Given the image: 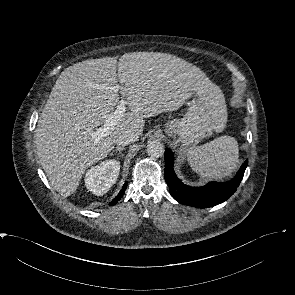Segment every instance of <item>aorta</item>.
<instances>
[{
    "instance_id": "762f6f07",
    "label": "aorta",
    "mask_w": 295,
    "mask_h": 295,
    "mask_svg": "<svg viewBox=\"0 0 295 295\" xmlns=\"http://www.w3.org/2000/svg\"><path fill=\"white\" fill-rule=\"evenodd\" d=\"M147 154L152 158L161 157L164 154V145L156 140L150 141L147 145Z\"/></svg>"
}]
</instances>
